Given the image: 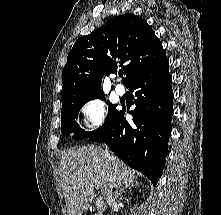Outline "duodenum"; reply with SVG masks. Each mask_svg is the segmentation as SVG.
<instances>
[{
	"label": "duodenum",
	"mask_w": 221,
	"mask_h": 215,
	"mask_svg": "<svg viewBox=\"0 0 221 215\" xmlns=\"http://www.w3.org/2000/svg\"><path fill=\"white\" fill-rule=\"evenodd\" d=\"M79 215H89L87 212H81ZM98 215V214H96Z\"/></svg>",
	"instance_id": "obj_1"
}]
</instances>
